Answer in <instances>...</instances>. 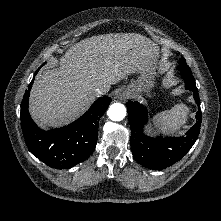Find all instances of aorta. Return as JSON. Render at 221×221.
Returning <instances> with one entry per match:
<instances>
[{"label": "aorta", "mask_w": 221, "mask_h": 221, "mask_svg": "<svg viewBox=\"0 0 221 221\" xmlns=\"http://www.w3.org/2000/svg\"><path fill=\"white\" fill-rule=\"evenodd\" d=\"M107 115L112 121H121L126 116V108L121 103H114L109 107Z\"/></svg>", "instance_id": "aorta-1"}]
</instances>
